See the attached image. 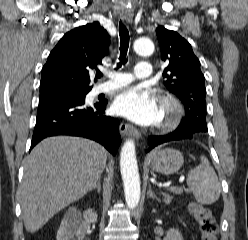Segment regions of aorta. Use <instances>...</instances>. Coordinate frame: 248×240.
<instances>
[{
    "mask_svg": "<svg viewBox=\"0 0 248 240\" xmlns=\"http://www.w3.org/2000/svg\"><path fill=\"white\" fill-rule=\"evenodd\" d=\"M134 51L141 56H150L154 52V44L150 39L140 38L134 42ZM120 169L124 184V193L127 207H137L141 189L138 165L135 153V143L132 139L126 140L120 153Z\"/></svg>",
    "mask_w": 248,
    "mask_h": 240,
    "instance_id": "aorta-1",
    "label": "aorta"
}]
</instances>
